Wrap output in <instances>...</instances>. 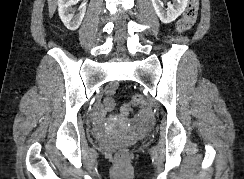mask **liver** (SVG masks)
<instances>
[{
  "instance_id": "liver-1",
  "label": "liver",
  "mask_w": 244,
  "mask_h": 179,
  "mask_svg": "<svg viewBox=\"0 0 244 179\" xmlns=\"http://www.w3.org/2000/svg\"><path fill=\"white\" fill-rule=\"evenodd\" d=\"M49 6V16L52 18L56 8H57V0H47Z\"/></svg>"
}]
</instances>
